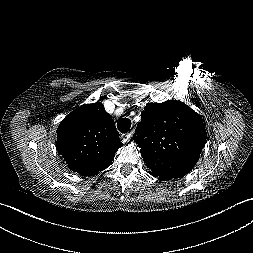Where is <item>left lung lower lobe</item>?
I'll list each match as a JSON object with an SVG mask.
<instances>
[{"label": "left lung lower lobe", "mask_w": 253, "mask_h": 253, "mask_svg": "<svg viewBox=\"0 0 253 253\" xmlns=\"http://www.w3.org/2000/svg\"><path fill=\"white\" fill-rule=\"evenodd\" d=\"M154 177H156V176H154ZM159 178H160V180H165V181L170 180L169 178H165V177H159Z\"/></svg>", "instance_id": "obj_1"}]
</instances>
